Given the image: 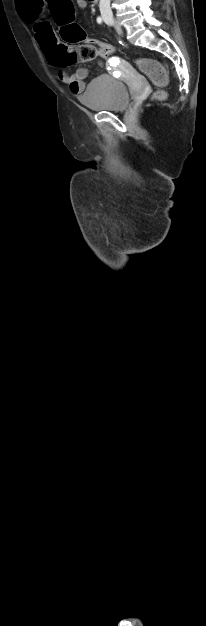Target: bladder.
<instances>
[{"instance_id": "bladder-1", "label": "bladder", "mask_w": 206, "mask_h": 626, "mask_svg": "<svg viewBox=\"0 0 206 626\" xmlns=\"http://www.w3.org/2000/svg\"><path fill=\"white\" fill-rule=\"evenodd\" d=\"M80 102L95 111H121L130 102L126 85L120 80L102 75L93 79L79 97Z\"/></svg>"}]
</instances>
